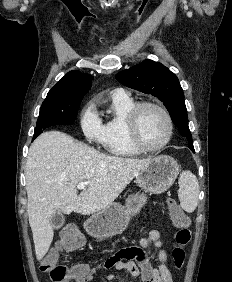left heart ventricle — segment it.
Returning <instances> with one entry per match:
<instances>
[{
	"instance_id": "b2bd125f",
	"label": "left heart ventricle",
	"mask_w": 232,
	"mask_h": 282,
	"mask_svg": "<svg viewBox=\"0 0 232 282\" xmlns=\"http://www.w3.org/2000/svg\"><path fill=\"white\" fill-rule=\"evenodd\" d=\"M138 128L142 141L149 146L159 145L168 133L164 116L154 108H145L141 112Z\"/></svg>"
}]
</instances>
